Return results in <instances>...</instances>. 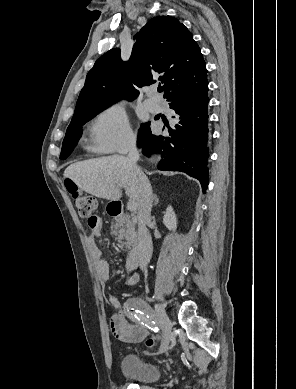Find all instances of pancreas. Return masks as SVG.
Listing matches in <instances>:
<instances>
[{
    "label": "pancreas",
    "mask_w": 296,
    "mask_h": 389,
    "mask_svg": "<svg viewBox=\"0 0 296 389\" xmlns=\"http://www.w3.org/2000/svg\"><path fill=\"white\" fill-rule=\"evenodd\" d=\"M114 222V230H112V234L116 236V239L118 240V245L121 248H123L124 246L126 248H129L130 243L132 242L135 236L133 224L127 218H115Z\"/></svg>",
    "instance_id": "1"
}]
</instances>
